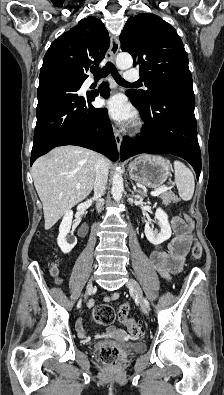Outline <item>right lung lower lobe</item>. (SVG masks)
I'll return each instance as SVG.
<instances>
[{
	"instance_id": "98d812e1",
	"label": "right lung lower lobe",
	"mask_w": 224,
	"mask_h": 395,
	"mask_svg": "<svg viewBox=\"0 0 224 395\" xmlns=\"http://www.w3.org/2000/svg\"><path fill=\"white\" fill-rule=\"evenodd\" d=\"M81 85L52 70L40 73L31 165L39 156L63 145L89 148L112 161L117 160V146L107 111L91 105L98 95L108 97L109 88L104 84L99 92L81 95Z\"/></svg>"
}]
</instances>
